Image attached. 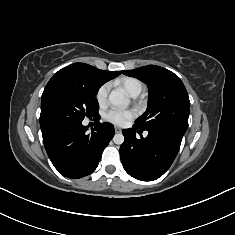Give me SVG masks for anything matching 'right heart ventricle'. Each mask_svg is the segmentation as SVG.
I'll use <instances>...</instances> for the list:
<instances>
[{"instance_id":"obj_1","label":"right heart ventricle","mask_w":235,"mask_h":235,"mask_svg":"<svg viewBox=\"0 0 235 235\" xmlns=\"http://www.w3.org/2000/svg\"><path fill=\"white\" fill-rule=\"evenodd\" d=\"M120 84L124 87L127 93L131 96L139 95L143 89L142 83L135 78L126 77L120 81Z\"/></svg>"}]
</instances>
